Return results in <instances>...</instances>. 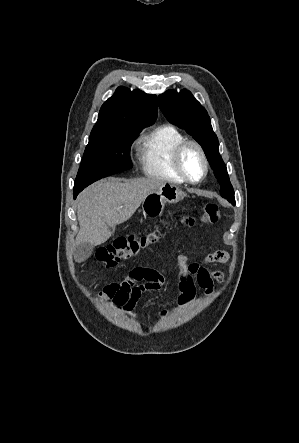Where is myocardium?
<instances>
[{"instance_id":"obj_1","label":"myocardium","mask_w":299,"mask_h":443,"mask_svg":"<svg viewBox=\"0 0 299 443\" xmlns=\"http://www.w3.org/2000/svg\"><path fill=\"white\" fill-rule=\"evenodd\" d=\"M190 147H193L197 150V152L199 153L200 158L202 160V163H203V172H202L201 177L198 179L190 178L184 168V165H183V156H184L186 150ZM174 165H175V168H176L178 174L183 178V180L185 182H188L191 184H198V183L202 182L206 178L208 171H209V162H208L206 153H205L202 145L195 140L186 139L185 141H183L182 143H180L177 146L175 153H174Z\"/></svg>"}]
</instances>
